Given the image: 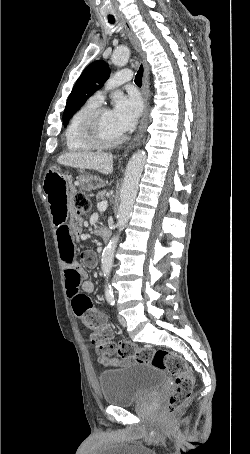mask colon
Wrapping results in <instances>:
<instances>
[{
  "mask_svg": "<svg viewBox=\"0 0 250 454\" xmlns=\"http://www.w3.org/2000/svg\"><path fill=\"white\" fill-rule=\"evenodd\" d=\"M89 209L90 200L88 196L84 192H76L74 195L73 216L80 217L86 214ZM87 326L92 331L90 336L91 343L99 355L103 357L116 355L119 358L132 357L138 362L150 363L173 377V390L167 404L169 414L177 413L189 399L194 386V376L181 355L165 349L137 347L128 341L114 344L111 341L113 331L107 324L104 314H92L89 317Z\"/></svg>",
  "mask_w": 250,
  "mask_h": 454,
  "instance_id": "colon-1",
  "label": "colon"
}]
</instances>
